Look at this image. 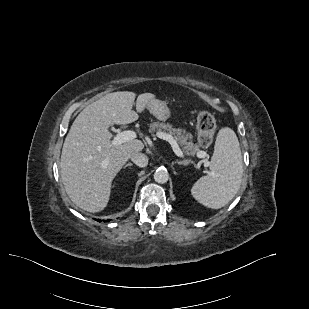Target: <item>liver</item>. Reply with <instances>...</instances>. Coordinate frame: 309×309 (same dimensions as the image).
Masks as SVG:
<instances>
[{
    "mask_svg": "<svg viewBox=\"0 0 309 309\" xmlns=\"http://www.w3.org/2000/svg\"><path fill=\"white\" fill-rule=\"evenodd\" d=\"M135 93H109L85 107L74 120L63 144L60 174L69 198L88 212L102 211L108 204L111 185L122 166L135 152L144 148L133 139L112 145L109 127L136 121L155 95L140 94L136 112L132 110Z\"/></svg>",
    "mask_w": 309,
    "mask_h": 309,
    "instance_id": "obj_1",
    "label": "liver"
}]
</instances>
